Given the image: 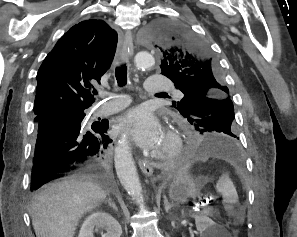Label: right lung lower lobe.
<instances>
[{
    "label": "right lung lower lobe",
    "mask_w": 297,
    "mask_h": 237,
    "mask_svg": "<svg viewBox=\"0 0 297 237\" xmlns=\"http://www.w3.org/2000/svg\"><path fill=\"white\" fill-rule=\"evenodd\" d=\"M84 117L83 111H53L36 120L31 191L73 174L107 178L109 162L104 149L111 142L105 134L108 123L93 124L86 130L81 128Z\"/></svg>",
    "instance_id": "right-lung-lower-lobe-1"
}]
</instances>
